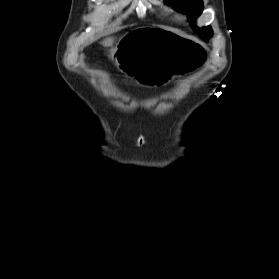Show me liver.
<instances>
[{"mask_svg":"<svg viewBox=\"0 0 279 279\" xmlns=\"http://www.w3.org/2000/svg\"><path fill=\"white\" fill-rule=\"evenodd\" d=\"M114 43V38L113 37H109V38H106L105 40L102 41V45L104 46H112Z\"/></svg>","mask_w":279,"mask_h":279,"instance_id":"liver-1","label":"liver"}]
</instances>
